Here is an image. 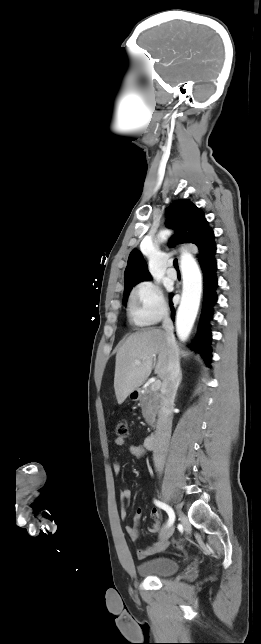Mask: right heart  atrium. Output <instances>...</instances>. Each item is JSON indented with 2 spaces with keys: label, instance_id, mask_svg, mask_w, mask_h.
<instances>
[{
  "label": "right heart atrium",
  "instance_id": "1",
  "mask_svg": "<svg viewBox=\"0 0 261 644\" xmlns=\"http://www.w3.org/2000/svg\"><path fill=\"white\" fill-rule=\"evenodd\" d=\"M131 316L139 325H152L167 316L168 308L161 288L152 281L139 283L131 293Z\"/></svg>",
  "mask_w": 261,
  "mask_h": 644
}]
</instances>
